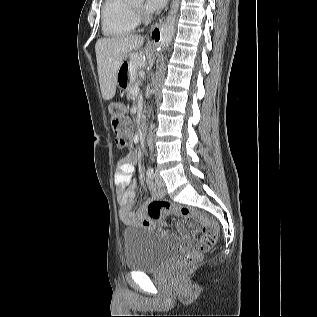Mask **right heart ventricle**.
Masks as SVG:
<instances>
[{
	"label": "right heart ventricle",
	"instance_id": "right-heart-ventricle-1",
	"mask_svg": "<svg viewBox=\"0 0 317 317\" xmlns=\"http://www.w3.org/2000/svg\"><path fill=\"white\" fill-rule=\"evenodd\" d=\"M102 31L107 37H119L133 32L137 14L129 0H104L101 9Z\"/></svg>",
	"mask_w": 317,
	"mask_h": 317
}]
</instances>
